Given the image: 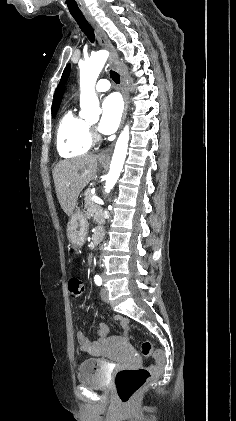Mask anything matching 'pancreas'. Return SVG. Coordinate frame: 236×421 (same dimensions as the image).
Returning a JSON list of instances; mask_svg holds the SVG:
<instances>
[{
  "instance_id": "cf45deb5",
  "label": "pancreas",
  "mask_w": 236,
  "mask_h": 421,
  "mask_svg": "<svg viewBox=\"0 0 236 421\" xmlns=\"http://www.w3.org/2000/svg\"><path fill=\"white\" fill-rule=\"evenodd\" d=\"M85 215L87 219H90V217H93L94 221L98 223V225H105V219H104V213L102 206H99V204H96L94 200H91L92 194L90 190H85Z\"/></svg>"
}]
</instances>
